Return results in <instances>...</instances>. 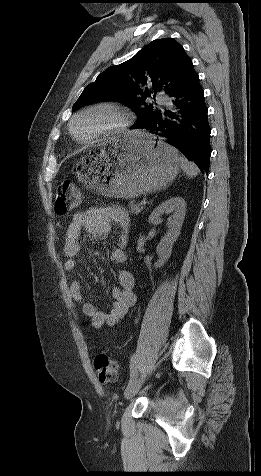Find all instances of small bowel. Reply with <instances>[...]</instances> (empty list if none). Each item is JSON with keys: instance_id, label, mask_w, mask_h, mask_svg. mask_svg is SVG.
I'll use <instances>...</instances> for the list:
<instances>
[{"instance_id": "small-bowel-1", "label": "small bowel", "mask_w": 261, "mask_h": 476, "mask_svg": "<svg viewBox=\"0 0 261 476\" xmlns=\"http://www.w3.org/2000/svg\"><path fill=\"white\" fill-rule=\"evenodd\" d=\"M113 226L117 227L118 234L111 250V259L116 263L124 262L131 226L129 215L117 206L95 207L73 216L65 238L64 269L71 272L77 267L81 238L84 233L96 239H103L110 233ZM117 281L118 285L111 290L112 303L108 312L102 311L93 303L83 301L85 291L83 284L79 280L71 282L72 298L81 304L83 313L91 319L93 327L97 329L116 325L135 304L136 295L133 291L132 273L126 269H120L117 272Z\"/></svg>"}]
</instances>
